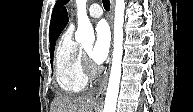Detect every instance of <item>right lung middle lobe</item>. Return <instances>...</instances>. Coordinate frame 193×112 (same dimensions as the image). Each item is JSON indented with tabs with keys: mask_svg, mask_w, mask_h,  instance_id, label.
<instances>
[{
	"mask_svg": "<svg viewBox=\"0 0 193 112\" xmlns=\"http://www.w3.org/2000/svg\"><path fill=\"white\" fill-rule=\"evenodd\" d=\"M53 55H54V48L50 50L51 60H53ZM51 64H52V61H51Z\"/></svg>",
	"mask_w": 193,
	"mask_h": 112,
	"instance_id": "1",
	"label": "right lung middle lobe"
}]
</instances>
